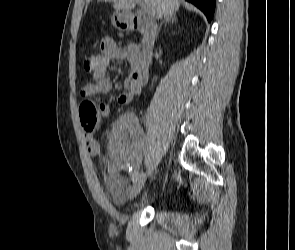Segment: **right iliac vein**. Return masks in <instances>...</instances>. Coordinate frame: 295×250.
I'll use <instances>...</instances> for the list:
<instances>
[{
	"mask_svg": "<svg viewBox=\"0 0 295 250\" xmlns=\"http://www.w3.org/2000/svg\"><path fill=\"white\" fill-rule=\"evenodd\" d=\"M145 177L140 178L132 187L131 191H130V198L134 199L136 198L139 193L141 192L142 188L145 185Z\"/></svg>",
	"mask_w": 295,
	"mask_h": 250,
	"instance_id": "right-iliac-vein-1",
	"label": "right iliac vein"
}]
</instances>
